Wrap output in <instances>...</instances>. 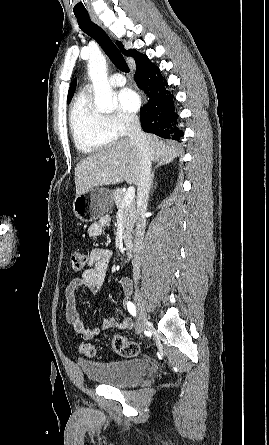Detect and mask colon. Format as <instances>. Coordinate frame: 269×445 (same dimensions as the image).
<instances>
[{
    "label": "colon",
    "mask_w": 269,
    "mask_h": 445,
    "mask_svg": "<svg viewBox=\"0 0 269 445\" xmlns=\"http://www.w3.org/2000/svg\"><path fill=\"white\" fill-rule=\"evenodd\" d=\"M70 262L72 270L78 273L85 268L87 257L82 251L74 249L70 253ZM112 346L115 352L124 357H135L139 353V346L137 343L129 341L120 335H116L113 338ZM80 352L88 358H94L97 355L95 346L89 342L81 344Z\"/></svg>",
    "instance_id": "obj_1"
}]
</instances>
